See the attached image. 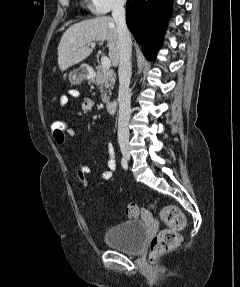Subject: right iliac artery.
Returning a JSON list of instances; mask_svg holds the SVG:
<instances>
[{
  "mask_svg": "<svg viewBox=\"0 0 240 287\" xmlns=\"http://www.w3.org/2000/svg\"><path fill=\"white\" fill-rule=\"evenodd\" d=\"M121 165L124 169H127L128 165H127V161L125 160V158L121 159Z\"/></svg>",
  "mask_w": 240,
  "mask_h": 287,
  "instance_id": "right-iliac-artery-1",
  "label": "right iliac artery"
}]
</instances>
